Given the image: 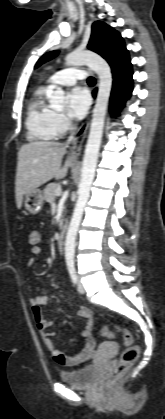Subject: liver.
<instances>
[{
    "mask_svg": "<svg viewBox=\"0 0 165 419\" xmlns=\"http://www.w3.org/2000/svg\"><path fill=\"white\" fill-rule=\"evenodd\" d=\"M66 153V146L59 142L36 141L20 148L15 182L18 209L21 208L26 194L53 178L59 180L67 175L72 158L68 155L62 166V158Z\"/></svg>",
    "mask_w": 165,
    "mask_h": 419,
    "instance_id": "liver-1",
    "label": "liver"
}]
</instances>
